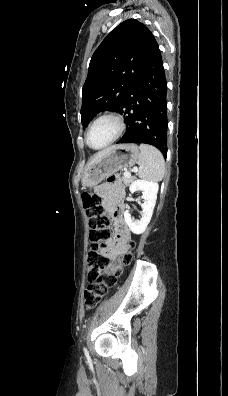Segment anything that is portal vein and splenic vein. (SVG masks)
Returning <instances> with one entry per match:
<instances>
[{"label": "portal vein and splenic vein", "instance_id": "18ae733b", "mask_svg": "<svg viewBox=\"0 0 228 396\" xmlns=\"http://www.w3.org/2000/svg\"><path fill=\"white\" fill-rule=\"evenodd\" d=\"M137 170H138V169H137L136 167L133 169L134 172H136ZM125 175H126V176H130L131 174H130V172L125 171Z\"/></svg>", "mask_w": 228, "mask_h": 396}]
</instances>
